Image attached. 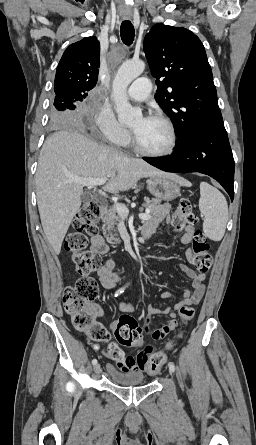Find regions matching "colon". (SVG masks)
I'll list each match as a JSON object with an SVG mask.
<instances>
[{
    "mask_svg": "<svg viewBox=\"0 0 256 445\" xmlns=\"http://www.w3.org/2000/svg\"><path fill=\"white\" fill-rule=\"evenodd\" d=\"M100 221V205L91 201L85 203L80 209L73 226L64 242V250L72 253L73 261L80 278L75 284L68 286L63 294V305L71 317L75 330L85 333L92 341L106 343L109 333L97 321H95L96 308L93 301L98 295L96 280L89 274L102 266L99 255L86 251L88 235H94L98 231ZM197 218L192 211L189 200L182 199L171 217L172 228L180 232L187 227L193 226ZM192 262L199 273H207L213 263V255L204 234L196 231L192 239ZM192 307H184L181 316L189 320L194 316ZM143 328L137 320L130 315H123L117 320L115 336L117 343L108 347L111 358L116 362H122L125 353L121 346L142 347ZM166 362V355L162 351L155 352L146 365L147 373L154 375L159 372Z\"/></svg>",
    "mask_w": 256,
    "mask_h": 445,
    "instance_id": "colon-1",
    "label": "colon"
}]
</instances>
